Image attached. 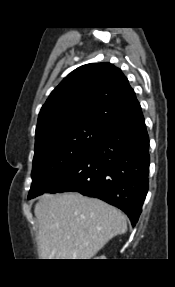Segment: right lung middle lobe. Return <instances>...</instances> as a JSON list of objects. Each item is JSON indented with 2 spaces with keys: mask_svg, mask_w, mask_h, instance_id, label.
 Segmentation results:
<instances>
[{
  "mask_svg": "<svg viewBox=\"0 0 175 287\" xmlns=\"http://www.w3.org/2000/svg\"><path fill=\"white\" fill-rule=\"evenodd\" d=\"M111 128L100 122L66 124L35 138L31 198L83 157Z\"/></svg>",
  "mask_w": 175,
  "mask_h": 287,
  "instance_id": "right-lung-middle-lobe-1",
  "label": "right lung middle lobe"
}]
</instances>
